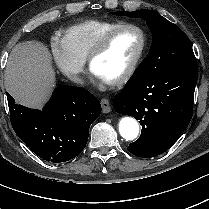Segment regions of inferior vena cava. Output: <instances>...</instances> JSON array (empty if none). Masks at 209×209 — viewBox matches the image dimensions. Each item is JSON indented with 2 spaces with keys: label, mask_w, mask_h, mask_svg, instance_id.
Masks as SVG:
<instances>
[{
  "label": "inferior vena cava",
  "mask_w": 209,
  "mask_h": 209,
  "mask_svg": "<svg viewBox=\"0 0 209 209\" xmlns=\"http://www.w3.org/2000/svg\"><path fill=\"white\" fill-rule=\"evenodd\" d=\"M69 78L71 81H73L75 83L84 84V80L81 77H79L78 75H71Z\"/></svg>",
  "instance_id": "inferior-vena-cava-1"
}]
</instances>
